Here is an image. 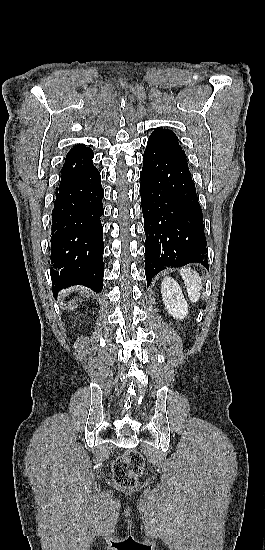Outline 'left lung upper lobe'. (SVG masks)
Returning a JSON list of instances; mask_svg holds the SVG:
<instances>
[{"label": "left lung upper lobe", "instance_id": "obj_1", "mask_svg": "<svg viewBox=\"0 0 265 550\" xmlns=\"http://www.w3.org/2000/svg\"><path fill=\"white\" fill-rule=\"evenodd\" d=\"M148 141L154 142L160 146L166 147L177 153L182 154L183 156H186L185 152L182 150L181 146L179 145L178 137L171 130L157 128L152 132Z\"/></svg>", "mask_w": 265, "mask_h": 550}]
</instances>
